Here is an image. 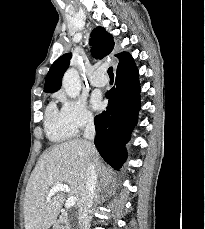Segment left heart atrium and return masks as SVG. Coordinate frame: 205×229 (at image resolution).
<instances>
[{
  "instance_id": "obj_1",
  "label": "left heart atrium",
  "mask_w": 205,
  "mask_h": 229,
  "mask_svg": "<svg viewBox=\"0 0 205 229\" xmlns=\"http://www.w3.org/2000/svg\"><path fill=\"white\" fill-rule=\"evenodd\" d=\"M92 106L95 109H100L101 108V100L98 96H93L91 99Z\"/></svg>"
}]
</instances>
